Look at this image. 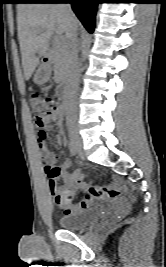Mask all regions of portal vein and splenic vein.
I'll return each mask as SVG.
<instances>
[{
    "mask_svg": "<svg viewBox=\"0 0 166 267\" xmlns=\"http://www.w3.org/2000/svg\"><path fill=\"white\" fill-rule=\"evenodd\" d=\"M61 42H62V40H61V39H59V38H56V43L60 44Z\"/></svg>",
    "mask_w": 166,
    "mask_h": 267,
    "instance_id": "1",
    "label": "portal vein and splenic vein"
}]
</instances>
